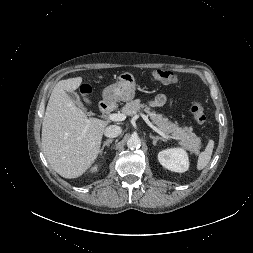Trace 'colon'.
<instances>
[{"label": "colon", "mask_w": 253, "mask_h": 253, "mask_svg": "<svg viewBox=\"0 0 253 253\" xmlns=\"http://www.w3.org/2000/svg\"><path fill=\"white\" fill-rule=\"evenodd\" d=\"M149 76L158 82L164 83V84H169L177 81V76L169 70L165 69H157L152 71ZM80 92L83 95H87L90 93V88L87 85H84L81 87ZM191 113L194 117V120L198 124H204L206 122V115L204 111V107L202 103L198 100H195L192 102L191 105Z\"/></svg>", "instance_id": "colon-1"}]
</instances>
